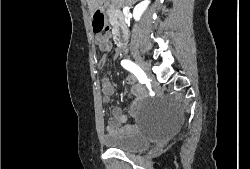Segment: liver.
<instances>
[{
  "instance_id": "6515ba94",
  "label": "liver",
  "mask_w": 250,
  "mask_h": 169,
  "mask_svg": "<svg viewBox=\"0 0 250 169\" xmlns=\"http://www.w3.org/2000/svg\"><path fill=\"white\" fill-rule=\"evenodd\" d=\"M110 0H87L88 8L90 10V14H94L95 10H97L98 6H101V4H105V6H108ZM113 4H117V6H124V4H127V6H132V4H135L137 0H111Z\"/></svg>"
}]
</instances>
